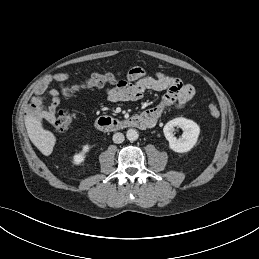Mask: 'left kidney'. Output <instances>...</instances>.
<instances>
[{
  "label": "left kidney",
  "mask_w": 259,
  "mask_h": 259,
  "mask_svg": "<svg viewBox=\"0 0 259 259\" xmlns=\"http://www.w3.org/2000/svg\"><path fill=\"white\" fill-rule=\"evenodd\" d=\"M174 127H179L184 131L182 138L177 139L174 136ZM163 132L171 150L177 153H186L196 145L200 127L192 120L178 117L166 123Z\"/></svg>",
  "instance_id": "obj_1"
}]
</instances>
